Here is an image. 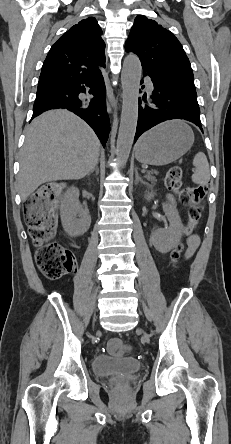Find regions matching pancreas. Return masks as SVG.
<instances>
[{"mask_svg":"<svg viewBox=\"0 0 231 444\" xmlns=\"http://www.w3.org/2000/svg\"><path fill=\"white\" fill-rule=\"evenodd\" d=\"M155 174H157V171L151 170L146 173L145 177L148 181L155 182L156 181V178L154 176Z\"/></svg>","mask_w":231,"mask_h":444,"instance_id":"obj_1","label":"pancreas"}]
</instances>
